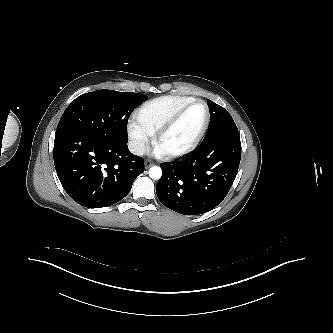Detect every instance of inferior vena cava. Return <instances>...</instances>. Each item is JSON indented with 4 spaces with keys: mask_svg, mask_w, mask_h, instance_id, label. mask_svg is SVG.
Listing matches in <instances>:
<instances>
[{
    "mask_svg": "<svg viewBox=\"0 0 333 333\" xmlns=\"http://www.w3.org/2000/svg\"><path fill=\"white\" fill-rule=\"evenodd\" d=\"M128 147L131 153L142 156L145 154V144L140 141L132 140L129 141Z\"/></svg>",
    "mask_w": 333,
    "mask_h": 333,
    "instance_id": "obj_1",
    "label": "inferior vena cava"
}]
</instances>
